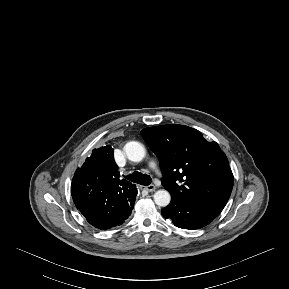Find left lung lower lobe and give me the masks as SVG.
I'll list each match as a JSON object with an SVG mask.
<instances>
[{"instance_id":"1","label":"left lung lower lobe","mask_w":289,"mask_h":289,"mask_svg":"<svg viewBox=\"0 0 289 289\" xmlns=\"http://www.w3.org/2000/svg\"><path fill=\"white\" fill-rule=\"evenodd\" d=\"M221 211L192 198L171 196V202L161 210L166 219H171L175 226L190 230L208 225Z\"/></svg>"}]
</instances>
